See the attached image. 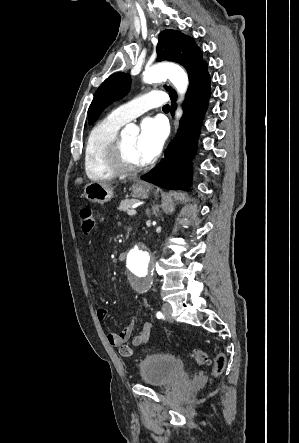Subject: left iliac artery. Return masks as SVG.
Segmentation results:
<instances>
[{
  "label": "left iliac artery",
  "mask_w": 299,
  "mask_h": 443,
  "mask_svg": "<svg viewBox=\"0 0 299 443\" xmlns=\"http://www.w3.org/2000/svg\"><path fill=\"white\" fill-rule=\"evenodd\" d=\"M156 317L158 319L163 318V314L159 311V312L156 313Z\"/></svg>",
  "instance_id": "obj_1"
}]
</instances>
